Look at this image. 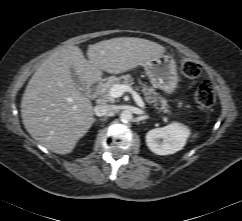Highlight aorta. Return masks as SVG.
I'll return each instance as SVG.
<instances>
[{
  "label": "aorta",
  "mask_w": 242,
  "mask_h": 221,
  "mask_svg": "<svg viewBox=\"0 0 242 221\" xmlns=\"http://www.w3.org/2000/svg\"><path fill=\"white\" fill-rule=\"evenodd\" d=\"M132 113L128 110H124L120 114V120L124 123H128L132 120Z\"/></svg>",
  "instance_id": "obj_1"
}]
</instances>
